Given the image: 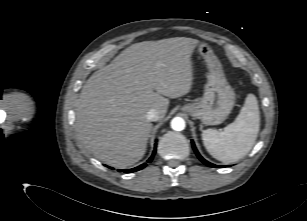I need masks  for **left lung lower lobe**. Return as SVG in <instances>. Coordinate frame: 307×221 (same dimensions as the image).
Returning a JSON list of instances; mask_svg holds the SVG:
<instances>
[{
    "mask_svg": "<svg viewBox=\"0 0 307 221\" xmlns=\"http://www.w3.org/2000/svg\"><path fill=\"white\" fill-rule=\"evenodd\" d=\"M192 147H193L194 152H195V154L197 155V157H198L204 164H206L207 166H210V167H214V168H217V167H218L217 165L212 164V163L206 161V160L199 154V152H198L197 148L195 147V144H194L193 141H192Z\"/></svg>",
    "mask_w": 307,
    "mask_h": 221,
    "instance_id": "obj_1",
    "label": "left lung lower lobe"
}]
</instances>
